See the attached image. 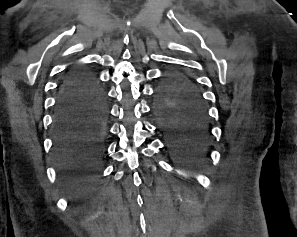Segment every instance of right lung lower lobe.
Returning <instances> with one entry per match:
<instances>
[{"mask_svg":"<svg viewBox=\"0 0 297 237\" xmlns=\"http://www.w3.org/2000/svg\"><path fill=\"white\" fill-rule=\"evenodd\" d=\"M105 114L104 94L96 78L86 69H73L61 85L53 126L60 171L85 175L100 171Z\"/></svg>","mask_w":297,"mask_h":237,"instance_id":"right-lung-lower-lobe-1","label":"right lung lower lobe"}]
</instances>
